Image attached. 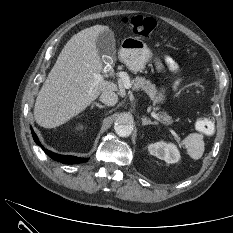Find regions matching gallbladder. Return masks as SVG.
<instances>
[{"label":"gallbladder","instance_id":"gallbladder-1","mask_svg":"<svg viewBox=\"0 0 233 233\" xmlns=\"http://www.w3.org/2000/svg\"><path fill=\"white\" fill-rule=\"evenodd\" d=\"M96 47L100 57H114L116 53L114 33L110 30H104L96 39Z\"/></svg>","mask_w":233,"mask_h":233}]
</instances>
